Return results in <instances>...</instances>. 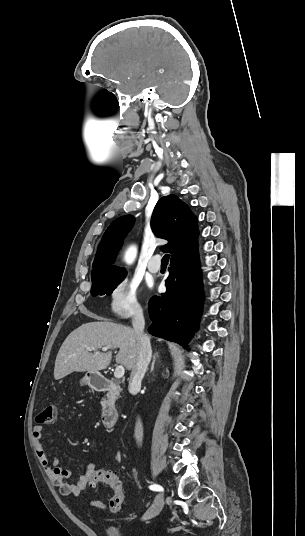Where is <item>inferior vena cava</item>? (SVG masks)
Returning <instances> with one entry per match:
<instances>
[{
  "instance_id": "1",
  "label": "inferior vena cava",
  "mask_w": 305,
  "mask_h": 536,
  "mask_svg": "<svg viewBox=\"0 0 305 536\" xmlns=\"http://www.w3.org/2000/svg\"><path fill=\"white\" fill-rule=\"evenodd\" d=\"M132 326L140 340L138 360L131 372V380L129 382V390L131 394H134V392H137V390H140L141 388V382L146 374V370H148V364L152 354L149 338L144 334L145 320L141 308H136ZM134 436L137 440V444L141 446L143 440V426L140 418H138L136 422Z\"/></svg>"
}]
</instances>
